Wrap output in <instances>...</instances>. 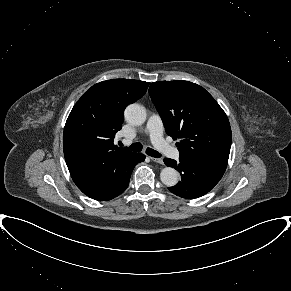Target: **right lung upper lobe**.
<instances>
[{
    "label": "right lung upper lobe",
    "mask_w": 291,
    "mask_h": 291,
    "mask_svg": "<svg viewBox=\"0 0 291 291\" xmlns=\"http://www.w3.org/2000/svg\"><path fill=\"white\" fill-rule=\"evenodd\" d=\"M150 83L131 79L102 81L86 91L71 110L63 135L67 167L77 187L98 198L115 187L136 154L114 144L124 110Z\"/></svg>",
    "instance_id": "1"
}]
</instances>
